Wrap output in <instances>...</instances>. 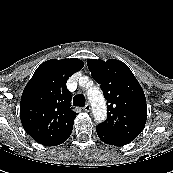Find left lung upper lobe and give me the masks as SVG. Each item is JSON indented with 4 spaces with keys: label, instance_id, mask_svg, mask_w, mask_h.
I'll list each match as a JSON object with an SVG mask.
<instances>
[{
    "label": "left lung upper lobe",
    "instance_id": "5c2ea615",
    "mask_svg": "<svg viewBox=\"0 0 173 173\" xmlns=\"http://www.w3.org/2000/svg\"><path fill=\"white\" fill-rule=\"evenodd\" d=\"M87 65L107 100V120L100 127L118 137L134 140L147 118L146 98L139 82L123 62L89 59Z\"/></svg>",
    "mask_w": 173,
    "mask_h": 173
}]
</instances>
